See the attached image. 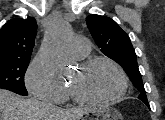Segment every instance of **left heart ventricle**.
Here are the masks:
<instances>
[{"label": "left heart ventricle", "mask_w": 165, "mask_h": 120, "mask_svg": "<svg viewBox=\"0 0 165 120\" xmlns=\"http://www.w3.org/2000/svg\"><path fill=\"white\" fill-rule=\"evenodd\" d=\"M87 96L97 99L108 98L121 89V78L118 72L107 64H99L86 72L80 69L71 81Z\"/></svg>", "instance_id": "left-heart-ventricle-1"}]
</instances>
